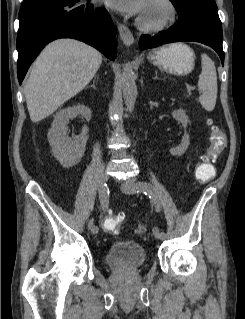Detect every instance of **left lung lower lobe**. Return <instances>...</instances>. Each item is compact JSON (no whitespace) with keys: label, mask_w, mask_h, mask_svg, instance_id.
<instances>
[{"label":"left lung lower lobe","mask_w":245,"mask_h":319,"mask_svg":"<svg viewBox=\"0 0 245 319\" xmlns=\"http://www.w3.org/2000/svg\"><path fill=\"white\" fill-rule=\"evenodd\" d=\"M222 40L221 23L204 16L192 15L186 18H179V22L152 38L141 36L139 48L144 50L165 43L195 41L212 47L220 56L222 64H224Z\"/></svg>","instance_id":"1"}]
</instances>
